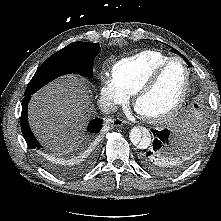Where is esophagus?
Returning <instances> with one entry per match:
<instances>
[{"mask_svg":"<svg viewBox=\"0 0 221 221\" xmlns=\"http://www.w3.org/2000/svg\"><path fill=\"white\" fill-rule=\"evenodd\" d=\"M126 123H127V121H125L123 119H120V118H115V119L112 120L113 126H116V127H120V126H122Z\"/></svg>","mask_w":221,"mask_h":221,"instance_id":"34e87169","label":"esophagus"}]
</instances>
